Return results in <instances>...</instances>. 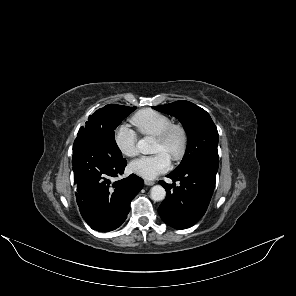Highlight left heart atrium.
<instances>
[{"label":"left heart atrium","mask_w":296,"mask_h":296,"mask_svg":"<svg viewBox=\"0 0 296 296\" xmlns=\"http://www.w3.org/2000/svg\"><path fill=\"white\" fill-rule=\"evenodd\" d=\"M170 157L163 151L150 156H143L130 163V169L135 174L153 179L170 168Z\"/></svg>","instance_id":"1"}]
</instances>
